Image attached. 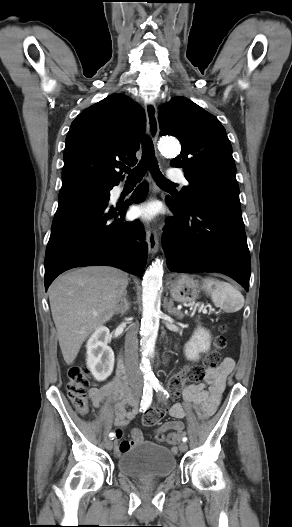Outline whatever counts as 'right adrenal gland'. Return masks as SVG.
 Returning <instances> with one entry per match:
<instances>
[{
    "label": "right adrenal gland",
    "mask_w": 292,
    "mask_h": 527,
    "mask_svg": "<svg viewBox=\"0 0 292 527\" xmlns=\"http://www.w3.org/2000/svg\"><path fill=\"white\" fill-rule=\"evenodd\" d=\"M130 303L127 299V292L124 293L123 297L120 300V303L115 309L116 314H121L122 316L129 310Z\"/></svg>",
    "instance_id": "1"
}]
</instances>
